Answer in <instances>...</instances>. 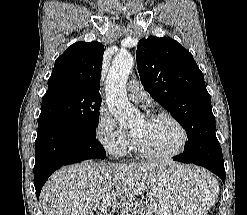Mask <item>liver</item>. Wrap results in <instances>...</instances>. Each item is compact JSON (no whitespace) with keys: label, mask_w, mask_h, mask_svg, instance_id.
<instances>
[{"label":"liver","mask_w":247,"mask_h":215,"mask_svg":"<svg viewBox=\"0 0 247 215\" xmlns=\"http://www.w3.org/2000/svg\"><path fill=\"white\" fill-rule=\"evenodd\" d=\"M175 162L120 164L87 161L66 166L45 183L40 202L44 215H94L103 198L125 207L154 183Z\"/></svg>","instance_id":"liver-1"}]
</instances>
